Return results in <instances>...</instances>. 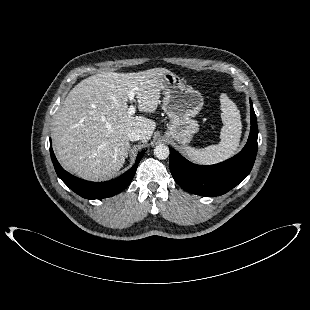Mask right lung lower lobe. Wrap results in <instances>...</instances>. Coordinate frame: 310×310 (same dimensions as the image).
Returning a JSON list of instances; mask_svg holds the SVG:
<instances>
[{"label":"right lung lower lobe","instance_id":"1","mask_svg":"<svg viewBox=\"0 0 310 310\" xmlns=\"http://www.w3.org/2000/svg\"><path fill=\"white\" fill-rule=\"evenodd\" d=\"M144 152L138 154L134 166L120 177L107 182H89L71 175L60 166L52 150L50 140V155L58 177L71 190L86 199L107 198L123 191L131 183Z\"/></svg>","mask_w":310,"mask_h":310}]
</instances>
